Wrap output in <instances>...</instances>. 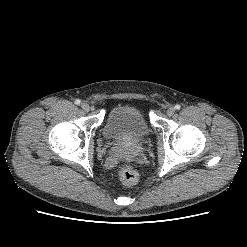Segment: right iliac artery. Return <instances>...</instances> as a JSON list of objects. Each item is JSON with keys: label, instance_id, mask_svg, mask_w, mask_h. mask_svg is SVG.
Wrapping results in <instances>:
<instances>
[{"label": "right iliac artery", "instance_id": "82829eb1", "mask_svg": "<svg viewBox=\"0 0 247 247\" xmlns=\"http://www.w3.org/2000/svg\"><path fill=\"white\" fill-rule=\"evenodd\" d=\"M80 103H81V100L79 99L75 100V104L80 105Z\"/></svg>", "mask_w": 247, "mask_h": 247}]
</instances>
